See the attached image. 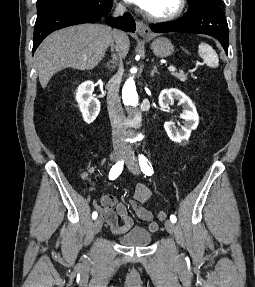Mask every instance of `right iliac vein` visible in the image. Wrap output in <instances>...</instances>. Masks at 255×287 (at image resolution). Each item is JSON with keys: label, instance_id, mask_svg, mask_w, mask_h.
<instances>
[{"label": "right iliac vein", "instance_id": "63e3f726", "mask_svg": "<svg viewBox=\"0 0 255 287\" xmlns=\"http://www.w3.org/2000/svg\"><path fill=\"white\" fill-rule=\"evenodd\" d=\"M124 153H125L124 148L116 147L111 154V160L113 162L118 161L123 156ZM102 225L103 220L101 217H98L93 224V234H97L101 230Z\"/></svg>", "mask_w": 255, "mask_h": 287}]
</instances>
